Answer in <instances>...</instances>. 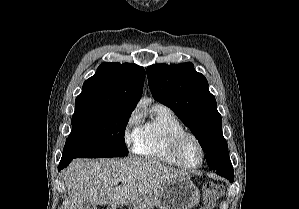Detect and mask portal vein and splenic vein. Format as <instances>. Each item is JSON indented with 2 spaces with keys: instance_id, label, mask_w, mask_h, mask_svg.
<instances>
[{
  "instance_id": "18ae733b",
  "label": "portal vein and splenic vein",
  "mask_w": 299,
  "mask_h": 209,
  "mask_svg": "<svg viewBox=\"0 0 299 209\" xmlns=\"http://www.w3.org/2000/svg\"><path fill=\"white\" fill-rule=\"evenodd\" d=\"M115 182H116V183H119V182H120V180H116Z\"/></svg>"
}]
</instances>
